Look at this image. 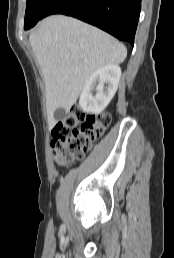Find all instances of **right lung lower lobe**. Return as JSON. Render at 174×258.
I'll return each mask as SVG.
<instances>
[{
  "label": "right lung lower lobe",
  "mask_w": 174,
  "mask_h": 258,
  "mask_svg": "<svg viewBox=\"0 0 174 258\" xmlns=\"http://www.w3.org/2000/svg\"><path fill=\"white\" fill-rule=\"evenodd\" d=\"M140 10L141 0H54L43 15L72 16L133 45Z\"/></svg>",
  "instance_id": "1"
}]
</instances>
